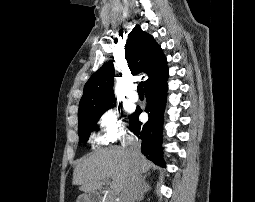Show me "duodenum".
<instances>
[{"label":"duodenum","instance_id":"1","mask_svg":"<svg viewBox=\"0 0 255 202\" xmlns=\"http://www.w3.org/2000/svg\"><path fill=\"white\" fill-rule=\"evenodd\" d=\"M83 202H98V197L93 193H88V195L83 199Z\"/></svg>","mask_w":255,"mask_h":202}]
</instances>
